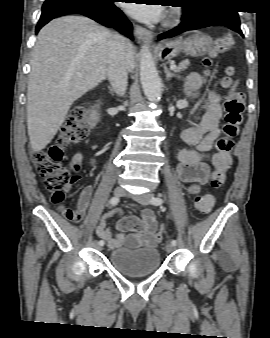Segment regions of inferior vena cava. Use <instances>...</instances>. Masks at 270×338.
I'll return each instance as SVG.
<instances>
[{"instance_id":"obj_1","label":"inferior vena cava","mask_w":270,"mask_h":338,"mask_svg":"<svg viewBox=\"0 0 270 338\" xmlns=\"http://www.w3.org/2000/svg\"><path fill=\"white\" fill-rule=\"evenodd\" d=\"M126 39L114 34L110 41L108 79L118 96H124L127 89Z\"/></svg>"}]
</instances>
